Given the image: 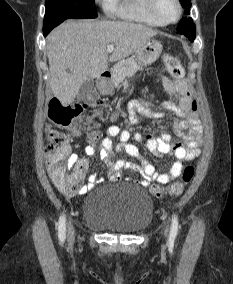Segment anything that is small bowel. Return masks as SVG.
<instances>
[{
    "label": "small bowel",
    "instance_id": "obj_1",
    "mask_svg": "<svg viewBox=\"0 0 233 284\" xmlns=\"http://www.w3.org/2000/svg\"><path fill=\"white\" fill-rule=\"evenodd\" d=\"M162 86L168 97L175 96L178 98L177 102L169 100L163 102L162 108L172 112L178 118L175 130L178 135L183 138L185 143H172L171 136L168 133H162L159 138L153 136H146L144 138L140 133H135L133 137L138 142L144 140L149 150L153 153L159 155H174L177 160L173 163L168 172H158L149 161L140 157L138 148L134 144L129 143L131 139L130 132L121 129L117 125H112L106 130V137L102 140L99 148V156L109 168V178L111 181L119 180L122 171L132 169L141 175L142 179L140 184L143 186H148L151 182L166 184L172 179L182 175L185 161L193 160L200 155L203 130L197 113V103L192 96V91L188 83L182 79L172 80L163 77ZM129 111L133 122H135L136 114H142L152 118H162L165 115L162 111L153 110L151 103L148 101L131 102ZM72 135L77 138L80 136V132L74 130ZM113 138L119 139V143L115 147L112 141ZM85 151L88 155H93L95 147L89 145L86 147ZM114 151L139 158V166L122 158L114 160ZM68 162L71 166L81 167L85 173L89 168L88 160L78 158L77 155H71ZM46 168L50 180L55 185L53 172L48 161H46ZM97 182H101V179L90 176L88 183L81 187L79 193H87L94 188Z\"/></svg>",
    "mask_w": 233,
    "mask_h": 284
}]
</instances>
